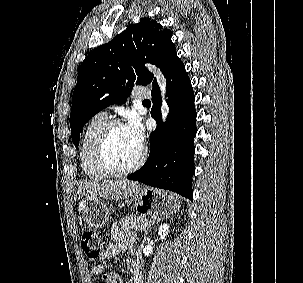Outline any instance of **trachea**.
<instances>
[{
  "mask_svg": "<svg viewBox=\"0 0 303 283\" xmlns=\"http://www.w3.org/2000/svg\"><path fill=\"white\" fill-rule=\"evenodd\" d=\"M147 102H150V101H149V100H147V99L143 101V103H147Z\"/></svg>",
  "mask_w": 303,
  "mask_h": 283,
  "instance_id": "obj_1",
  "label": "trachea"
}]
</instances>
